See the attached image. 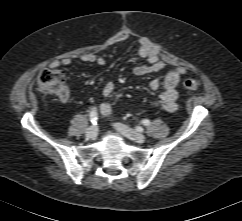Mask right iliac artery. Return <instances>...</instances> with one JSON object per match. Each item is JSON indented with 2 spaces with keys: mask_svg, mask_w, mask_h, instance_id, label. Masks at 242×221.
I'll return each mask as SVG.
<instances>
[{
  "mask_svg": "<svg viewBox=\"0 0 242 221\" xmlns=\"http://www.w3.org/2000/svg\"><path fill=\"white\" fill-rule=\"evenodd\" d=\"M90 121L93 125L97 124V120H98V113L97 110L94 108L92 109V111L90 112Z\"/></svg>",
  "mask_w": 242,
  "mask_h": 221,
  "instance_id": "82829eb1",
  "label": "right iliac artery"
}]
</instances>
